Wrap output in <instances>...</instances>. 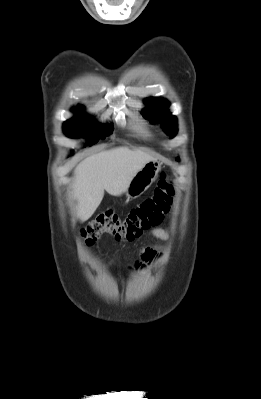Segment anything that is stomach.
Instances as JSON below:
<instances>
[{
    "label": "stomach",
    "instance_id": "obj_1",
    "mask_svg": "<svg viewBox=\"0 0 261 399\" xmlns=\"http://www.w3.org/2000/svg\"><path fill=\"white\" fill-rule=\"evenodd\" d=\"M160 164L155 161L147 162L132 178L124 193L128 198L141 196L155 181Z\"/></svg>",
    "mask_w": 261,
    "mask_h": 399
}]
</instances>
